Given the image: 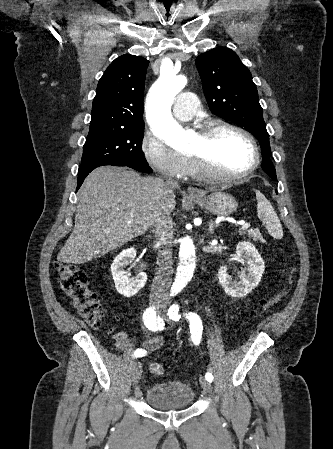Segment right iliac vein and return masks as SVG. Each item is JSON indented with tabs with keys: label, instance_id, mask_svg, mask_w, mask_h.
Wrapping results in <instances>:
<instances>
[{
	"label": "right iliac vein",
	"instance_id": "right-iliac-vein-1",
	"mask_svg": "<svg viewBox=\"0 0 333 449\" xmlns=\"http://www.w3.org/2000/svg\"><path fill=\"white\" fill-rule=\"evenodd\" d=\"M141 374H142V365L140 362H133L132 364V382L133 385H136L140 378H141Z\"/></svg>",
	"mask_w": 333,
	"mask_h": 449
}]
</instances>
